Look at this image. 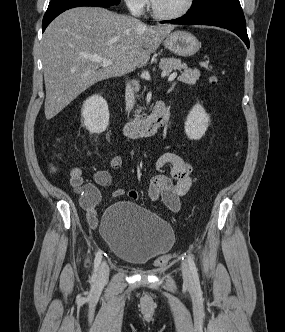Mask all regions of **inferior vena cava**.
Listing matches in <instances>:
<instances>
[{"label":"inferior vena cava","mask_w":285,"mask_h":332,"mask_svg":"<svg viewBox=\"0 0 285 332\" xmlns=\"http://www.w3.org/2000/svg\"><path fill=\"white\" fill-rule=\"evenodd\" d=\"M125 101H126V109L130 111L134 105V94L133 89L131 88L130 84H127L126 91H125Z\"/></svg>","instance_id":"602c4592"}]
</instances>
